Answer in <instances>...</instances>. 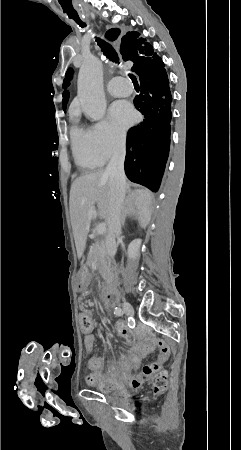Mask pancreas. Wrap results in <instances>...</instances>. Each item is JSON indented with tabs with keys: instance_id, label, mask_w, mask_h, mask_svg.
<instances>
[{
	"instance_id": "cf45deb5",
	"label": "pancreas",
	"mask_w": 241,
	"mask_h": 450,
	"mask_svg": "<svg viewBox=\"0 0 241 450\" xmlns=\"http://www.w3.org/2000/svg\"><path fill=\"white\" fill-rule=\"evenodd\" d=\"M89 264L92 266L93 270L100 268V274H102L105 284H110L111 276L106 266L105 250L102 242H95V244L91 246V250L89 252Z\"/></svg>"
}]
</instances>
